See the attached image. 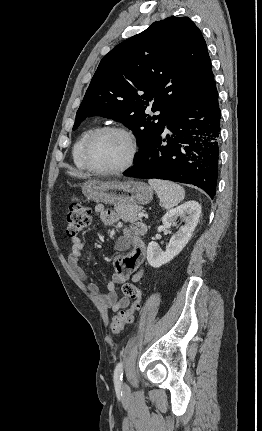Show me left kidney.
Instances as JSON below:
<instances>
[{
	"label": "left kidney",
	"mask_w": 262,
	"mask_h": 431,
	"mask_svg": "<svg viewBox=\"0 0 262 431\" xmlns=\"http://www.w3.org/2000/svg\"><path fill=\"white\" fill-rule=\"evenodd\" d=\"M200 216L201 206L195 201L186 202L181 206L169 210L163 216V225L158 227V232L169 229L179 218H183L185 220V224L171 237L165 252H163L154 241L148 244L147 261L150 266L159 268L177 256L190 240L192 233L199 222Z\"/></svg>",
	"instance_id": "left-kidney-1"
}]
</instances>
